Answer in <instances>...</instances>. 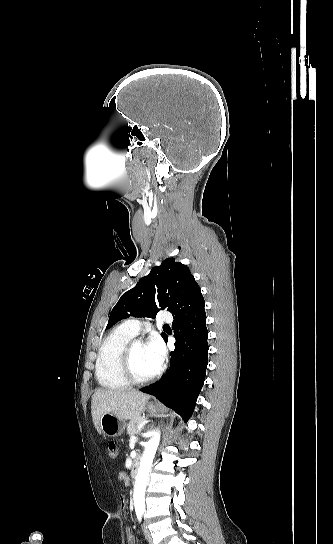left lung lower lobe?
<instances>
[{"label":"left lung lower lobe","instance_id":"0a47b994","mask_svg":"<svg viewBox=\"0 0 333 544\" xmlns=\"http://www.w3.org/2000/svg\"><path fill=\"white\" fill-rule=\"evenodd\" d=\"M202 296L173 314L176 338L170 368L162 379L141 391L155 396L187 421L193 413L208 364V331ZM167 342V336L164 338Z\"/></svg>","mask_w":333,"mask_h":544}]
</instances>
